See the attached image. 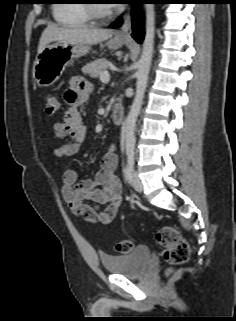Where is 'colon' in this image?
Returning a JSON list of instances; mask_svg holds the SVG:
<instances>
[{"label":"colon","instance_id":"obj_1","mask_svg":"<svg viewBox=\"0 0 236 321\" xmlns=\"http://www.w3.org/2000/svg\"><path fill=\"white\" fill-rule=\"evenodd\" d=\"M45 112L54 116L59 110V100L54 95H47L44 99ZM157 243L164 248V259L169 266L182 265L189 259L190 246L180 232L173 226H163L156 233ZM133 249L131 240H121L116 244V250L121 254H128Z\"/></svg>","mask_w":236,"mask_h":321}]
</instances>
